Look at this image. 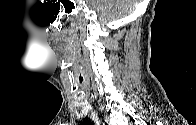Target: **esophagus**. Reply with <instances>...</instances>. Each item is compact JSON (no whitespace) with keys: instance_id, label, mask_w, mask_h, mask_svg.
Wrapping results in <instances>:
<instances>
[{"instance_id":"1","label":"esophagus","mask_w":196,"mask_h":125,"mask_svg":"<svg viewBox=\"0 0 196 125\" xmlns=\"http://www.w3.org/2000/svg\"><path fill=\"white\" fill-rule=\"evenodd\" d=\"M103 125H109L108 119L105 117Z\"/></svg>"}]
</instances>
